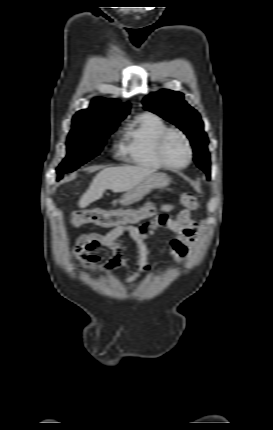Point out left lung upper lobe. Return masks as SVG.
I'll use <instances>...</instances> for the list:
<instances>
[{
    "instance_id": "left-lung-upper-lobe-1",
    "label": "left lung upper lobe",
    "mask_w": 273,
    "mask_h": 430,
    "mask_svg": "<svg viewBox=\"0 0 273 430\" xmlns=\"http://www.w3.org/2000/svg\"><path fill=\"white\" fill-rule=\"evenodd\" d=\"M145 108L179 127L190 139L194 150V161L202 170L210 167L207 150L208 138L198 112L184 100L182 93L160 90L143 99Z\"/></svg>"
}]
</instances>
